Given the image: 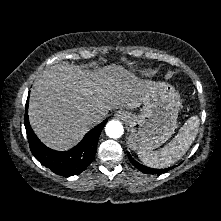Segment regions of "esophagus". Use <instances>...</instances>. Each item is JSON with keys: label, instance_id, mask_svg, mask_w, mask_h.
<instances>
[{"label": "esophagus", "instance_id": "1", "mask_svg": "<svg viewBox=\"0 0 221 221\" xmlns=\"http://www.w3.org/2000/svg\"><path fill=\"white\" fill-rule=\"evenodd\" d=\"M115 117L120 120H124L127 118V114L124 111H119L115 114Z\"/></svg>", "mask_w": 221, "mask_h": 221}]
</instances>
